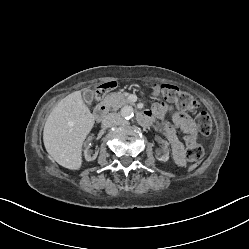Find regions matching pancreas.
<instances>
[{"label":"pancreas","mask_w":249,"mask_h":249,"mask_svg":"<svg viewBox=\"0 0 249 249\" xmlns=\"http://www.w3.org/2000/svg\"><path fill=\"white\" fill-rule=\"evenodd\" d=\"M104 102L112 108L113 111L118 110L122 106L129 103L128 99H126L120 93H112L106 96Z\"/></svg>","instance_id":"1"}]
</instances>
